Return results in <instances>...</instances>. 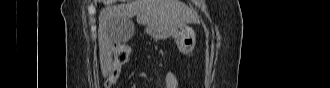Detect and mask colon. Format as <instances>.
Returning a JSON list of instances; mask_svg holds the SVG:
<instances>
[{
    "instance_id": "1",
    "label": "colon",
    "mask_w": 330,
    "mask_h": 88,
    "mask_svg": "<svg viewBox=\"0 0 330 88\" xmlns=\"http://www.w3.org/2000/svg\"><path fill=\"white\" fill-rule=\"evenodd\" d=\"M122 46H125V45H122ZM120 47H118V49L114 53V60H113V64H112V70H111V73H110L108 79L105 82L106 87H113L114 86L122 66L128 60V56H129L128 54L127 55L120 54V52H119ZM126 47H129V46H126Z\"/></svg>"
}]
</instances>
